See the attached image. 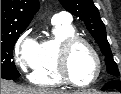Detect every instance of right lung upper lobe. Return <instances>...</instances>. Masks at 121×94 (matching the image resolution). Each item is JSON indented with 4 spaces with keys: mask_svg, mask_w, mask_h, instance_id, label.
<instances>
[{
    "mask_svg": "<svg viewBox=\"0 0 121 94\" xmlns=\"http://www.w3.org/2000/svg\"><path fill=\"white\" fill-rule=\"evenodd\" d=\"M39 7L38 0H1V33L25 30Z\"/></svg>",
    "mask_w": 121,
    "mask_h": 94,
    "instance_id": "1",
    "label": "right lung upper lobe"
}]
</instances>
